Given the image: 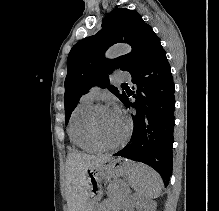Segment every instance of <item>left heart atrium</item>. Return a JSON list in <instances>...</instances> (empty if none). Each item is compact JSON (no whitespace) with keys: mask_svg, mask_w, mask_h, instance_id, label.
<instances>
[{"mask_svg":"<svg viewBox=\"0 0 219 211\" xmlns=\"http://www.w3.org/2000/svg\"><path fill=\"white\" fill-rule=\"evenodd\" d=\"M110 110L115 115V117H117L120 120H124L122 113H121V110H120L117 103H113L112 106L110 107Z\"/></svg>","mask_w":219,"mask_h":211,"instance_id":"obj_1","label":"left heart atrium"}]
</instances>
